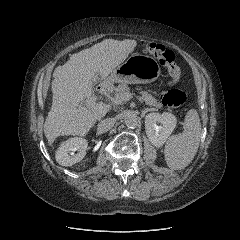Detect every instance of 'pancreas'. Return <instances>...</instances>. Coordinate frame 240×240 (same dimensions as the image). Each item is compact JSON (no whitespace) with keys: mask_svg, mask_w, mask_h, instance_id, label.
<instances>
[{"mask_svg":"<svg viewBox=\"0 0 240 240\" xmlns=\"http://www.w3.org/2000/svg\"><path fill=\"white\" fill-rule=\"evenodd\" d=\"M114 90H115L114 95H115L116 104L123 105L126 102V100L123 99V97L125 96L126 93H130L128 85L126 83L119 84ZM140 94H141V97H140L141 101L145 102V104L149 106H153L157 109L162 107L161 103H159L148 92L141 91Z\"/></svg>","mask_w":240,"mask_h":240,"instance_id":"cf45deb5","label":"pancreas"}]
</instances>
